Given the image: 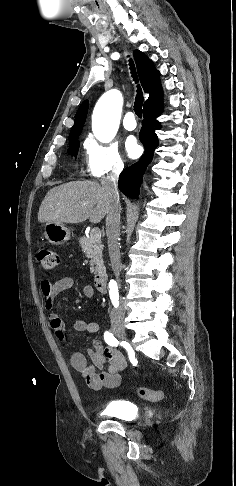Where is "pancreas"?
<instances>
[{
	"label": "pancreas",
	"instance_id": "1",
	"mask_svg": "<svg viewBox=\"0 0 236 486\" xmlns=\"http://www.w3.org/2000/svg\"><path fill=\"white\" fill-rule=\"evenodd\" d=\"M79 244L86 257L90 258V271L96 275L105 271L102 259L103 244L100 239H95L90 236L81 237Z\"/></svg>",
	"mask_w": 236,
	"mask_h": 486
}]
</instances>
